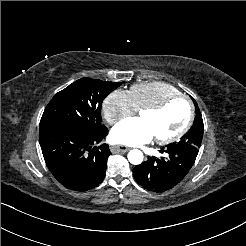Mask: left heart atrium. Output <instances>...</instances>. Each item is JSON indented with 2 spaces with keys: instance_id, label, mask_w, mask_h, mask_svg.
<instances>
[{
  "instance_id": "39dd6f15",
  "label": "left heart atrium",
  "mask_w": 246,
  "mask_h": 246,
  "mask_svg": "<svg viewBox=\"0 0 246 246\" xmlns=\"http://www.w3.org/2000/svg\"><path fill=\"white\" fill-rule=\"evenodd\" d=\"M154 138L149 126L139 118H130L118 123L112 130L111 139L116 144L143 145Z\"/></svg>"
}]
</instances>
